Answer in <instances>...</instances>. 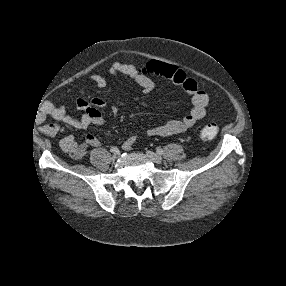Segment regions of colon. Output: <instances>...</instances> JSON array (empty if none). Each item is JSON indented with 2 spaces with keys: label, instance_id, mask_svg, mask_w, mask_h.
<instances>
[{
  "label": "colon",
  "instance_id": "obj_1",
  "mask_svg": "<svg viewBox=\"0 0 286 286\" xmlns=\"http://www.w3.org/2000/svg\"><path fill=\"white\" fill-rule=\"evenodd\" d=\"M145 72L149 73H158V70L155 69H148V67L145 66ZM219 132V125L215 122H210L207 125H205L201 130H200V137L204 140H210L213 139L217 136Z\"/></svg>",
  "mask_w": 286,
  "mask_h": 286
}]
</instances>
